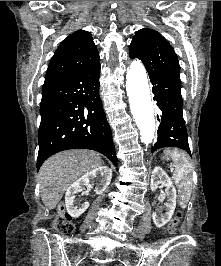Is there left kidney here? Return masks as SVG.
<instances>
[{
	"label": "left kidney",
	"mask_w": 221,
	"mask_h": 266,
	"mask_svg": "<svg viewBox=\"0 0 221 266\" xmlns=\"http://www.w3.org/2000/svg\"><path fill=\"white\" fill-rule=\"evenodd\" d=\"M158 185L165 186V193L161 195V198L167 197V203L165 204V213L158 216L153 213L152 218L154 224L160 228L170 221L174 210L176 208V189L167 175V173L161 167H155L151 175V188L156 189Z\"/></svg>",
	"instance_id": "left-kidney-1"
}]
</instances>
